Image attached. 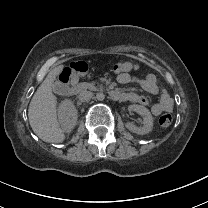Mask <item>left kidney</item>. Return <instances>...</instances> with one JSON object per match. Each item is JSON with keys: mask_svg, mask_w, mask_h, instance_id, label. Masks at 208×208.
Wrapping results in <instances>:
<instances>
[{"mask_svg": "<svg viewBox=\"0 0 208 208\" xmlns=\"http://www.w3.org/2000/svg\"><path fill=\"white\" fill-rule=\"evenodd\" d=\"M128 110L135 111L143 116V126L137 127L134 124L128 122L125 125L128 130H130L133 133L140 134V135L147 134L152 130L153 117H152L150 111L146 107H144L142 105H135L134 104V105H129Z\"/></svg>", "mask_w": 208, "mask_h": 208, "instance_id": "obj_1", "label": "left kidney"}]
</instances>
